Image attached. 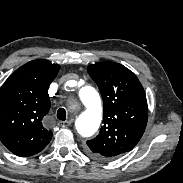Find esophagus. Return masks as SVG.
<instances>
[{"label": "esophagus", "instance_id": "1", "mask_svg": "<svg viewBox=\"0 0 183 183\" xmlns=\"http://www.w3.org/2000/svg\"><path fill=\"white\" fill-rule=\"evenodd\" d=\"M72 122H73L72 120L60 121V122H59V125H60L61 127H68V126L71 125Z\"/></svg>", "mask_w": 183, "mask_h": 183}]
</instances>
